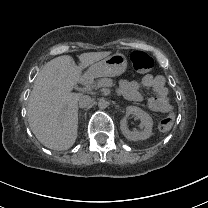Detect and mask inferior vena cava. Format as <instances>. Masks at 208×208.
Returning <instances> with one entry per match:
<instances>
[{"instance_id":"1","label":"inferior vena cava","mask_w":208,"mask_h":208,"mask_svg":"<svg viewBox=\"0 0 208 208\" xmlns=\"http://www.w3.org/2000/svg\"><path fill=\"white\" fill-rule=\"evenodd\" d=\"M93 100L88 95H83L79 98V107L80 108H86L90 104H92Z\"/></svg>"}]
</instances>
